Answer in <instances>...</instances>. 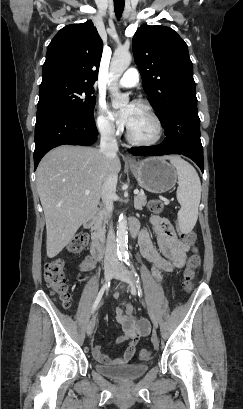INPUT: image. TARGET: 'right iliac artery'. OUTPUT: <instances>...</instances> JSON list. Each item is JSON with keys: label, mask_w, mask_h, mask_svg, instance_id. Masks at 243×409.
Here are the masks:
<instances>
[{"label": "right iliac artery", "mask_w": 243, "mask_h": 409, "mask_svg": "<svg viewBox=\"0 0 243 409\" xmlns=\"http://www.w3.org/2000/svg\"><path fill=\"white\" fill-rule=\"evenodd\" d=\"M109 285H110V282L106 283V284L101 288V290L99 291V293H98V295H97V297H96V300H95V302H94V304H93V307H92V313H94L95 310L97 309V306H98L99 302L101 301V298H102V296H103V294H104V291L109 287Z\"/></svg>", "instance_id": "1"}]
</instances>
